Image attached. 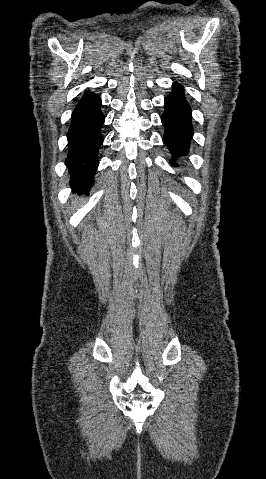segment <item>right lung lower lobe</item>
Here are the masks:
<instances>
[{
	"mask_svg": "<svg viewBox=\"0 0 266 479\" xmlns=\"http://www.w3.org/2000/svg\"><path fill=\"white\" fill-rule=\"evenodd\" d=\"M100 107V97L86 91L72 113L65 163L71 175V185L77 190L90 187L98 167V150L103 142L101 127L104 123Z\"/></svg>",
	"mask_w": 266,
	"mask_h": 479,
	"instance_id": "obj_1",
	"label": "right lung lower lobe"
}]
</instances>
